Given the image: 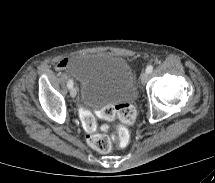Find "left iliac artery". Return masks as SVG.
I'll list each match as a JSON object with an SVG mask.
<instances>
[{
    "label": "left iliac artery",
    "instance_id": "obj_1",
    "mask_svg": "<svg viewBox=\"0 0 215 183\" xmlns=\"http://www.w3.org/2000/svg\"><path fill=\"white\" fill-rule=\"evenodd\" d=\"M153 71V66L152 65H148L146 68V72L151 73Z\"/></svg>",
    "mask_w": 215,
    "mask_h": 183
}]
</instances>
